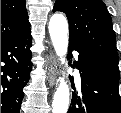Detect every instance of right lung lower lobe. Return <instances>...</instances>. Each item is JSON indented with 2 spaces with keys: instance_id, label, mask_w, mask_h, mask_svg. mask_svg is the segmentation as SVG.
<instances>
[{
  "instance_id": "98d812e1",
  "label": "right lung lower lobe",
  "mask_w": 121,
  "mask_h": 113,
  "mask_svg": "<svg viewBox=\"0 0 121 113\" xmlns=\"http://www.w3.org/2000/svg\"><path fill=\"white\" fill-rule=\"evenodd\" d=\"M30 29L1 42V113H19L24 98L23 87L30 79Z\"/></svg>"
}]
</instances>
